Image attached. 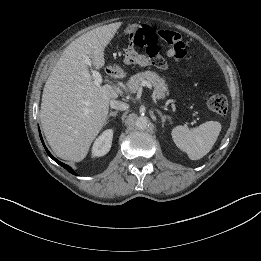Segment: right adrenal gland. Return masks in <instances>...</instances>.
Masks as SVG:
<instances>
[{
    "label": "right adrenal gland",
    "mask_w": 261,
    "mask_h": 261,
    "mask_svg": "<svg viewBox=\"0 0 261 261\" xmlns=\"http://www.w3.org/2000/svg\"><path fill=\"white\" fill-rule=\"evenodd\" d=\"M117 113H118V111H112V112H110V113L108 114V116H107V120H108L111 116H112V117H116Z\"/></svg>",
    "instance_id": "2a0ac1e0"
}]
</instances>
